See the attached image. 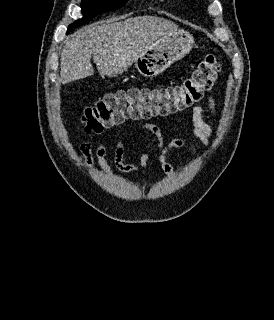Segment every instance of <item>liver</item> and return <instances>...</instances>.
<instances>
[{
  "instance_id": "obj_1",
  "label": "liver",
  "mask_w": 274,
  "mask_h": 320,
  "mask_svg": "<svg viewBox=\"0 0 274 320\" xmlns=\"http://www.w3.org/2000/svg\"><path fill=\"white\" fill-rule=\"evenodd\" d=\"M178 26L157 16H138L123 22L106 20L80 28L69 36L61 54L63 84L92 76L91 58L101 76H118L143 56L159 38Z\"/></svg>"
}]
</instances>
